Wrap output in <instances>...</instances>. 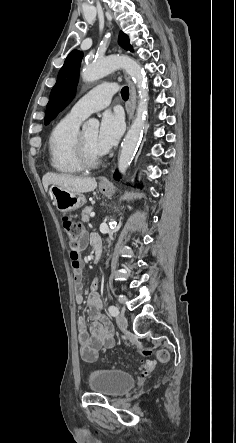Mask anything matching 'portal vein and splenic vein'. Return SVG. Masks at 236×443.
Here are the masks:
<instances>
[{"label":"portal vein and splenic vein","instance_id":"1","mask_svg":"<svg viewBox=\"0 0 236 443\" xmlns=\"http://www.w3.org/2000/svg\"><path fill=\"white\" fill-rule=\"evenodd\" d=\"M95 216V213L94 212H91L90 213V217H94Z\"/></svg>","mask_w":236,"mask_h":443}]
</instances>
